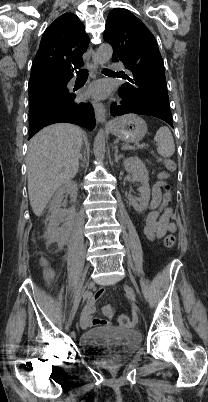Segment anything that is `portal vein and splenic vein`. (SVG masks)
<instances>
[{
	"label": "portal vein and splenic vein",
	"instance_id": "portal-vein-and-splenic-vein-1",
	"mask_svg": "<svg viewBox=\"0 0 208 402\" xmlns=\"http://www.w3.org/2000/svg\"><path fill=\"white\" fill-rule=\"evenodd\" d=\"M132 148L144 149L145 145L144 144L131 145V148H130V146H123L122 150H132Z\"/></svg>",
	"mask_w": 208,
	"mask_h": 402
}]
</instances>
